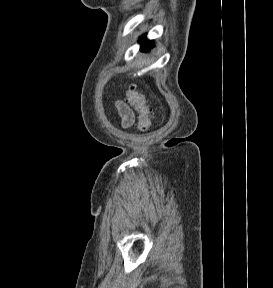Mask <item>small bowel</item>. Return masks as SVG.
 Instances as JSON below:
<instances>
[{
    "mask_svg": "<svg viewBox=\"0 0 273 288\" xmlns=\"http://www.w3.org/2000/svg\"><path fill=\"white\" fill-rule=\"evenodd\" d=\"M116 108L121 118L123 128L131 127L132 124L134 123L135 116L130 107L122 101H117Z\"/></svg>",
    "mask_w": 273,
    "mask_h": 288,
    "instance_id": "c3829d8e",
    "label": "small bowel"
}]
</instances>
